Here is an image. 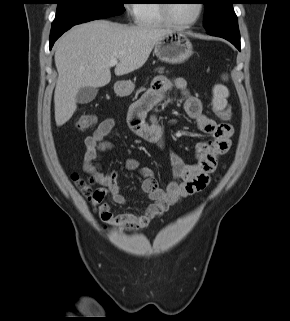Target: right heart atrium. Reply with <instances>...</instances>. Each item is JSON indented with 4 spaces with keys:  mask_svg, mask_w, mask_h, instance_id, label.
<instances>
[{
    "mask_svg": "<svg viewBox=\"0 0 290 321\" xmlns=\"http://www.w3.org/2000/svg\"><path fill=\"white\" fill-rule=\"evenodd\" d=\"M126 10L131 16H135V11L133 6L127 5Z\"/></svg>",
    "mask_w": 290,
    "mask_h": 321,
    "instance_id": "obj_1",
    "label": "right heart atrium"
}]
</instances>
